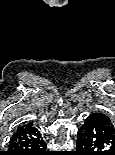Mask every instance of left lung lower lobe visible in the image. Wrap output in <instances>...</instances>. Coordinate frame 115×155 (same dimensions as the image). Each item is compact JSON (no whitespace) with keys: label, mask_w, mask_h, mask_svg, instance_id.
I'll use <instances>...</instances> for the list:
<instances>
[{"label":"left lung lower lobe","mask_w":115,"mask_h":155,"mask_svg":"<svg viewBox=\"0 0 115 155\" xmlns=\"http://www.w3.org/2000/svg\"><path fill=\"white\" fill-rule=\"evenodd\" d=\"M77 155H115V127L103 113L89 115L78 132Z\"/></svg>","instance_id":"0a47b994"}]
</instances>
